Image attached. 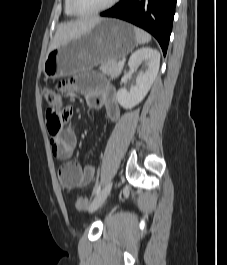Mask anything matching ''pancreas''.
<instances>
[{
  "mask_svg": "<svg viewBox=\"0 0 227 265\" xmlns=\"http://www.w3.org/2000/svg\"><path fill=\"white\" fill-rule=\"evenodd\" d=\"M100 71L103 74L116 78L121 74L122 67L118 65L117 61H107L100 66Z\"/></svg>",
  "mask_w": 227,
  "mask_h": 265,
  "instance_id": "cf45deb5",
  "label": "pancreas"
}]
</instances>
